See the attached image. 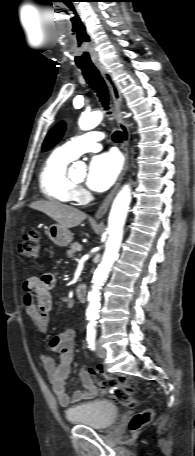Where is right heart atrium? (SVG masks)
I'll return each mask as SVG.
<instances>
[{"label":"right heart atrium","instance_id":"right-heart-atrium-1","mask_svg":"<svg viewBox=\"0 0 195 456\" xmlns=\"http://www.w3.org/2000/svg\"><path fill=\"white\" fill-rule=\"evenodd\" d=\"M76 197L79 200H83L85 198V191L80 187H76Z\"/></svg>","mask_w":195,"mask_h":456}]
</instances>
